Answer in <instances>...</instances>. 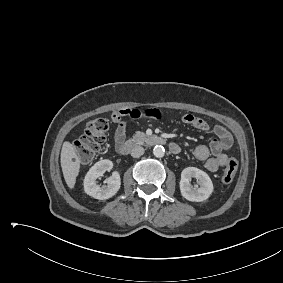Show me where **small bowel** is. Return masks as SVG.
<instances>
[{"mask_svg":"<svg viewBox=\"0 0 283 283\" xmlns=\"http://www.w3.org/2000/svg\"><path fill=\"white\" fill-rule=\"evenodd\" d=\"M141 118L149 117L153 119H159L161 117L160 110L156 108H150L146 110L140 109H121L115 111L111 115V120L115 123L116 129L114 134L115 147L118 150L119 147L124 143L126 136V123L125 118ZM181 121L194 127L200 131L208 132L210 131L209 124L202 118L195 116L193 114H185L181 117ZM213 133L215 137L211 140L209 146L199 145L194 150V156L200 160L204 161V167L210 171H217L220 167L225 166L228 160L226 151H228L233 144V138L230 132L223 126L216 125L213 128ZM179 148L177 144H174Z\"/></svg>","mask_w":283,"mask_h":283,"instance_id":"c3829d8e","label":"small bowel"}]
</instances>
